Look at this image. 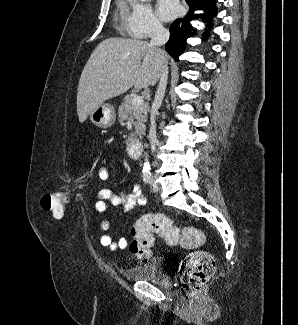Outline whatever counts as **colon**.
Returning <instances> with one entry per match:
<instances>
[{
	"label": "colon",
	"instance_id": "1",
	"mask_svg": "<svg viewBox=\"0 0 298 325\" xmlns=\"http://www.w3.org/2000/svg\"><path fill=\"white\" fill-rule=\"evenodd\" d=\"M82 187V184H78L46 192L41 198L42 209L51 212L55 218L63 217L69 196ZM153 233L158 234L170 246L179 245L186 249L199 248L205 242L204 234L195 227H176L161 214L144 215L132 227L133 240L129 250L136 258L146 259L151 256ZM215 266V260L209 253L199 250L190 252L179 271L183 288L190 294L197 293L212 277Z\"/></svg>",
	"mask_w": 298,
	"mask_h": 325
}]
</instances>
